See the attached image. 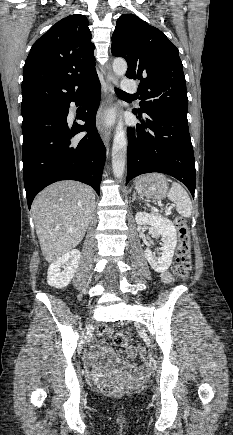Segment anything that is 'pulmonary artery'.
I'll list each match as a JSON object with an SVG mask.
<instances>
[{"label": "pulmonary artery", "mask_w": 233, "mask_h": 435, "mask_svg": "<svg viewBox=\"0 0 233 435\" xmlns=\"http://www.w3.org/2000/svg\"><path fill=\"white\" fill-rule=\"evenodd\" d=\"M123 83V92H125L127 95H136L138 92L137 86L133 84V79L129 77H125L122 80Z\"/></svg>", "instance_id": "obj_1"}]
</instances>
